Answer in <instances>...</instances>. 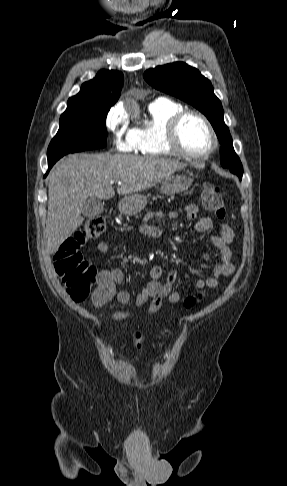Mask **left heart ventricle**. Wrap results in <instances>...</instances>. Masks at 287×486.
<instances>
[{"instance_id":"b2bd125f","label":"left heart ventricle","mask_w":287,"mask_h":486,"mask_svg":"<svg viewBox=\"0 0 287 486\" xmlns=\"http://www.w3.org/2000/svg\"><path fill=\"white\" fill-rule=\"evenodd\" d=\"M181 145L190 152H204L211 146L210 134L203 122L195 117H187L179 129Z\"/></svg>"}]
</instances>
